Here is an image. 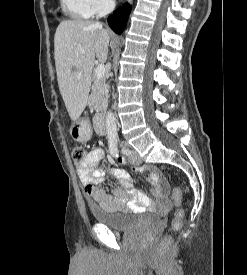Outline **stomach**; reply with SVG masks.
Here are the masks:
<instances>
[{
	"label": "stomach",
	"mask_w": 247,
	"mask_h": 275,
	"mask_svg": "<svg viewBox=\"0 0 247 275\" xmlns=\"http://www.w3.org/2000/svg\"><path fill=\"white\" fill-rule=\"evenodd\" d=\"M71 135L76 141L83 142L90 138V129L87 124L76 121L72 126Z\"/></svg>",
	"instance_id": "1"
}]
</instances>
